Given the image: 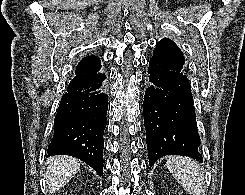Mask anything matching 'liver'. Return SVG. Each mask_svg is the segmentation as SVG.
I'll list each match as a JSON object with an SVG mask.
<instances>
[{
    "label": "liver",
    "mask_w": 245,
    "mask_h": 195,
    "mask_svg": "<svg viewBox=\"0 0 245 195\" xmlns=\"http://www.w3.org/2000/svg\"><path fill=\"white\" fill-rule=\"evenodd\" d=\"M45 178L50 192L63 188L80 170V162L71 156H54L46 161Z\"/></svg>",
    "instance_id": "liver-1"
}]
</instances>
